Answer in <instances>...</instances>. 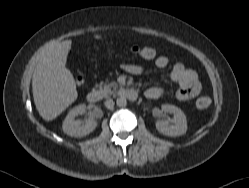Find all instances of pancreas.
<instances>
[{"mask_svg": "<svg viewBox=\"0 0 249 188\" xmlns=\"http://www.w3.org/2000/svg\"><path fill=\"white\" fill-rule=\"evenodd\" d=\"M117 84L115 82L109 83V84H104L101 82L98 87H99V92L102 97L107 98L110 97L111 95H114V91H112V87H116Z\"/></svg>", "mask_w": 249, "mask_h": 188, "instance_id": "1", "label": "pancreas"}]
</instances>
